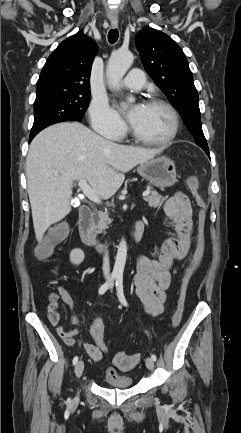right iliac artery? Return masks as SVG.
<instances>
[{"mask_svg": "<svg viewBox=\"0 0 241 433\" xmlns=\"http://www.w3.org/2000/svg\"><path fill=\"white\" fill-rule=\"evenodd\" d=\"M115 278H116V276L112 275L110 277V279L99 288V294L100 295H103L107 291V289L111 286V284L115 280ZM77 362H78V356H75L73 358V365H75Z\"/></svg>", "mask_w": 241, "mask_h": 433, "instance_id": "82829eb1", "label": "right iliac artery"}]
</instances>
